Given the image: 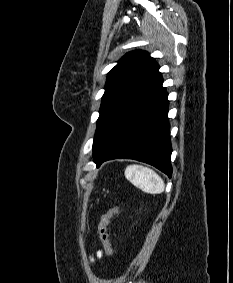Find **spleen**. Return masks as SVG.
I'll use <instances>...</instances> for the list:
<instances>
[{"instance_id": "obj_1", "label": "spleen", "mask_w": 233, "mask_h": 283, "mask_svg": "<svg viewBox=\"0 0 233 283\" xmlns=\"http://www.w3.org/2000/svg\"><path fill=\"white\" fill-rule=\"evenodd\" d=\"M125 177L134 186L150 194H160L165 189L162 178L152 169L140 166L129 165L125 169Z\"/></svg>"}]
</instances>
